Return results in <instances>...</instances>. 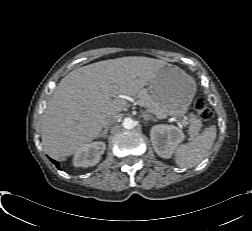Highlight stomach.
Wrapping results in <instances>:
<instances>
[{
	"mask_svg": "<svg viewBox=\"0 0 252 231\" xmlns=\"http://www.w3.org/2000/svg\"><path fill=\"white\" fill-rule=\"evenodd\" d=\"M196 90L194 79L170 64L162 67L149 82V93L164 117L181 119L187 113Z\"/></svg>",
	"mask_w": 252,
	"mask_h": 231,
	"instance_id": "stomach-1",
	"label": "stomach"
}]
</instances>
